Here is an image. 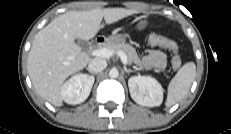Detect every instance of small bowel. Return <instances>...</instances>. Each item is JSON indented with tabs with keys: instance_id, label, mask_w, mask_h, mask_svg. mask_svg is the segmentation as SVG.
Here are the masks:
<instances>
[{
	"instance_id": "small-bowel-1",
	"label": "small bowel",
	"mask_w": 231,
	"mask_h": 134,
	"mask_svg": "<svg viewBox=\"0 0 231 134\" xmlns=\"http://www.w3.org/2000/svg\"><path fill=\"white\" fill-rule=\"evenodd\" d=\"M135 62L145 68H164L166 54L159 49H149L142 56H135Z\"/></svg>"
}]
</instances>
